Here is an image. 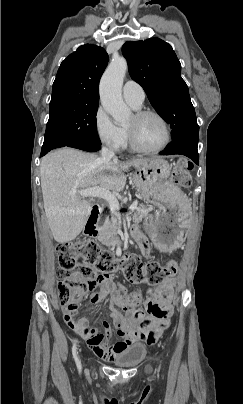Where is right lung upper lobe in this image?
Wrapping results in <instances>:
<instances>
[{"instance_id": "right-lung-upper-lobe-1", "label": "right lung upper lobe", "mask_w": 243, "mask_h": 404, "mask_svg": "<svg viewBox=\"0 0 243 404\" xmlns=\"http://www.w3.org/2000/svg\"><path fill=\"white\" fill-rule=\"evenodd\" d=\"M109 58L99 46L86 44L62 61L53 83L50 106L98 103L99 80Z\"/></svg>"}]
</instances>
